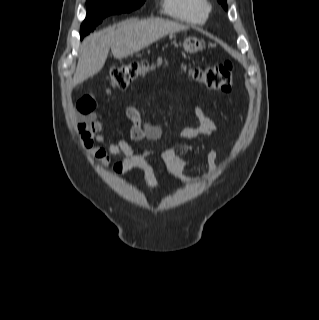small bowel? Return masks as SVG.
Wrapping results in <instances>:
<instances>
[{
  "mask_svg": "<svg viewBox=\"0 0 319 320\" xmlns=\"http://www.w3.org/2000/svg\"><path fill=\"white\" fill-rule=\"evenodd\" d=\"M96 103L91 96L82 97L77 103L79 119L77 123L80 133V141L83 147L89 149L100 166L110 163L112 156L122 158L120 172L129 173L136 168H140L144 173V182L149 189L156 191L160 188V183L155 174L153 166L149 163L152 156L159 157L168 167L170 177L177 183H189L191 178L185 175L186 161L179 152L169 146H164L157 151L149 149L134 148L125 138L108 140L106 147L94 146V142L105 141L101 131L104 123L98 119L95 110ZM193 114L197 119V125L185 127L180 134L182 140H192L198 137L211 136L219 132L218 125L210 119L204 109L199 105L193 106ZM126 117L131 122L130 134L135 135L137 140L143 139L149 132L155 133V138L162 133L161 128L152 125L141 117L139 111L134 106H129L126 110ZM218 152L212 150L206 156L209 174L217 171Z\"/></svg>",
  "mask_w": 319,
  "mask_h": 320,
  "instance_id": "obj_1",
  "label": "small bowel"
}]
</instances>
